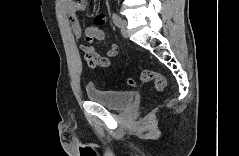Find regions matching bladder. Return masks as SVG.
<instances>
[{
    "label": "bladder",
    "instance_id": "obj_1",
    "mask_svg": "<svg viewBox=\"0 0 239 156\" xmlns=\"http://www.w3.org/2000/svg\"><path fill=\"white\" fill-rule=\"evenodd\" d=\"M85 93L89 101L114 111L127 109L135 99L133 91H114L88 86Z\"/></svg>",
    "mask_w": 239,
    "mask_h": 156
}]
</instances>
